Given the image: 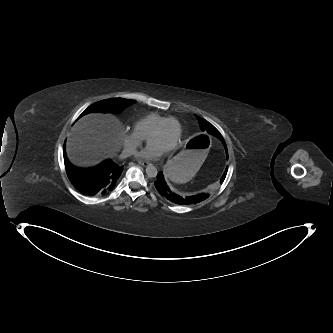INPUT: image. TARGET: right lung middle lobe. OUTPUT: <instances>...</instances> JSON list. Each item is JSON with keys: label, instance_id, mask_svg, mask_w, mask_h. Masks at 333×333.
Returning <instances> with one entry per match:
<instances>
[{"label": "right lung middle lobe", "instance_id": "dd1d6c3e", "mask_svg": "<svg viewBox=\"0 0 333 333\" xmlns=\"http://www.w3.org/2000/svg\"><path fill=\"white\" fill-rule=\"evenodd\" d=\"M135 101L123 98H111L99 101L89 106L80 116L90 112H117L120 113L124 108L133 104Z\"/></svg>", "mask_w": 333, "mask_h": 333}]
</instances>
